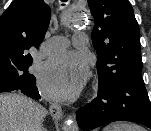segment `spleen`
Masks as SVG:
<instances>
[{
    "instance_id": "obj_1",
    "label": "spleen",
    "mask_w": 151,
    "mask_h": 131,
    "mask_svg": "<svg viewBox=\"0 0 151 131\" xmlns=\"http://www.w3.org/2000/svg\"><path fill=\"white\" fill-rule=\"evenodd\" d=\"M103 131H144L140 126L128 123H114L106 126Z\"/></svg>"
}]
</instances>
